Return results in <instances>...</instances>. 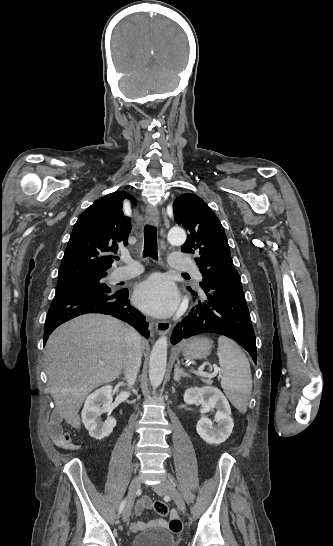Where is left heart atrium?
Returning <instances> with one entry per match:
<instances>
[{
	"instance_id": "1",
	"label": "left heart atrium",
	"mask_w": 333,
	"mask_h": 546,
	"mask_svg": "<svg viewBox=\"0 0 333 546\" xmlns=\"http://www.w3.org/2000/svg\"><path fill=\"white\" fill-rule=\"evenodd\" d=\"M134 301L145 312L165 317L176 310L179 297L174 284L167 277L153 275L136 286Z\"/></svg>"
}]
</instances>
